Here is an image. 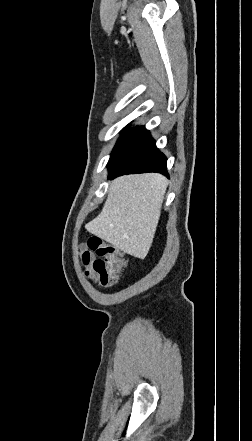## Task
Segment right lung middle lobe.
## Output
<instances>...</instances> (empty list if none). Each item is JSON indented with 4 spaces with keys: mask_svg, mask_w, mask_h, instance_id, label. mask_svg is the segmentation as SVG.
Returning <instances> with one entry per match:
<instances>
[{
    "mask_svg": "<svg viewBox=\"0 0 252 441\" xmlns=\"http://www.w3.org/2000/svg\"><path fill=\"white\" fill-rule=\"evenodd\" d=\"M126 129V128H124ZM133 130H129V131H125L122 133V136L119 138V140L117 141L113 152L111 154L110 160L111 161L114 156L117 154V152L121 149V147L125 144L126 140L128 139V137L130 136V134L132 133Z\"/></svg>",
    "mask_w": 252,
    "mask_h": 441,
    "instance_id": "1",
    "label": "right lung middle lobe"
}]
</instances>
